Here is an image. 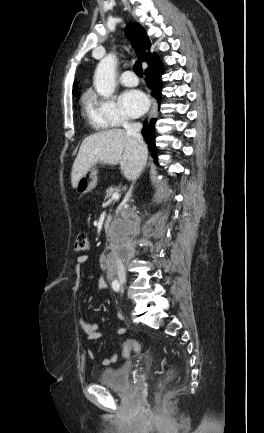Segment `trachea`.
Returning a JSON list of instances; mask_svg holds the SVG:
<instances>
[{
    "mask_svg": "<svg viewBox=\"0 0 264 433\" xmlns=\"http://www.w3.org/2000/svg\"><path fill=\"white\" fill-rule=\"evenodd\" d=\"M133 70L138 76H143L141 61H136V63L133 66Z\"/></svg>",
    "mask_w": 264,
    "mask_h": 433,
    "instance_id": "3493384b",
    "label": "trachea"
}]
</instances>
